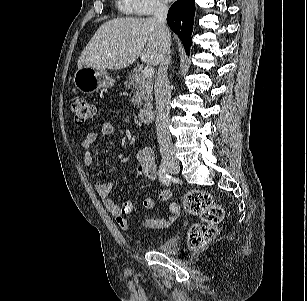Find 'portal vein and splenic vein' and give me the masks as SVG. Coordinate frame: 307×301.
Instances as JSON below:
<instances>
[{
	"mask_svg": "<svg viewBox=\"0 0 307 301\" xmlns=\"http://www.w3.org/2000/svg\"><path fill=\"white\" fill-rule=\"evenodd\" d=\"M145 77H152L154 75V68L150 65L146 66L143 70Z\"/></svg>",
	"mask_w": 307,
	"mask_h": 301,
	"instance_id": "1",
	"label": "portal vein and splenic vein"
}]
</instances>
